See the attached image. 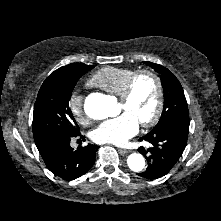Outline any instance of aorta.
I'll return each mask as SVG.
<instances>
[{
	"label": "aorta",
	"mask_w": 221,
	"mask_h": 221,
	"mask_svg": "<svg viewBox=\"0 0 221 221\" xmlns=\"http://www.w3.org/2000/svg\"><path fill=\"white\" fill-rule=\"evenodd\" d=\"M115 103L106 95L93 94L85 102L86 115L94 120H102L114 114ZM129 168L140 172L145 167V159L139 153H132L127 159Z\"/></svg>",
	"instance_id": "762f6f07"
}]
</instances>
